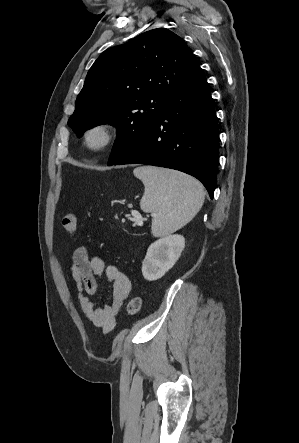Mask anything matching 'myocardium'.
<instances>
[{"mask_svg": "<svg viewBox=\"0 0 299 443\" xmlns=\"http://www.w3.org/2000/svg\"><path fill=\"white\" fill-rule=\"evenodd\" d=\"M99 136L97 142L94 136ZM119 137V131L115 125L108 121H99L91 124L83 134V145L91 153H101L115 144Z\"/></svg>", "mask_w": 299, "mask_h": 443, "instance_id": "f54148a6", "label": "myocardium"}]
</instances>
